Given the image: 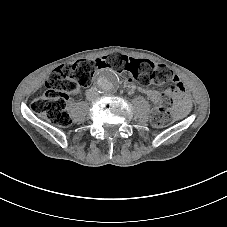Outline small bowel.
<instances>
[{
	"instance_id": "1",
	"label": "small bowel",
	"mask_w": 227,
	"mask_h": 227,
	"mask_svg": "<svg viewBox=\"0 0 227 227\" xmlns=\"http://www.w3.org/2000/svg\"><path fill=\"white\" fill-rule=\"evenodd\" d=\"M141 91L149 97V99L158 104L162 101L161 95L159 92L153 90V89H148V88H141ZM179 107L177 108V112L179 114L186 113L189 109V103L188 100L185 96H181L179 99Z\"/></svg>"
}]
</instances>
